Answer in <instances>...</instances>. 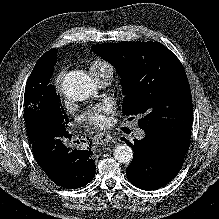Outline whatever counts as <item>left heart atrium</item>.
<instances>
[{
  "mask_svg": "<svg viewBox=\"0 0 219 219\" xmlns=\"http://www.w3.org/2000/svg\"><path fill=\"white\" fill-rule=\"evenodd\" d=\"M112 110L113 107L110 104L98 105L87 111L83 115V120L96 126H104L108 121L106 115L111 113Z\"/></svg>",
  "mask_w": 219,
  "mask_h": 219,
  "instance_id": "obj_1",
  "label": "left heart atrium"
}]
</instances>
